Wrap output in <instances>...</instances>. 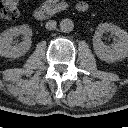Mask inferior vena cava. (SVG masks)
<instances>
[{
	"label": "inferior vena cava",
	"instance_id": "602c4592",
	"mask_svg": "<svg viewBox=\"0 0 128 128\" xmlns=\"http://www.w3.org/2000/svg\"><path fill=\"white\" fill-rule=\"evenodd\" d=\"M46 29L48 30H53L56 28V21L54 20H49L48 22H46V25H45Z\"/></svg>",
	"mask_w": 128,
	"mask_h": 128
}]
</instances>
